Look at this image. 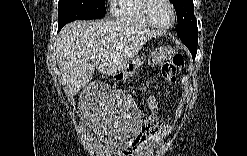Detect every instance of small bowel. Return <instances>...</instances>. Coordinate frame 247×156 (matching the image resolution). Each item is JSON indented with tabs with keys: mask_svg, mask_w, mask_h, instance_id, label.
I'll list each match as a JSON object with an SVG mask.
<instances>
[{
	"mask_svg": "<svg viewBox=\"0 0 247 156\" xmlns=\"http://www.w3.org/2000/svg\"><path fill=\"white\" fill-rule=\"evenodd\" d=\"M148 106H149L150 110L153 112V115L148 119V122L153 121L152 117L156 116L157 119L160 121V126H154L155 130L150 135H147L146 133L143 132V136L139 139V142H141V143L145 142L147 140V137H149L150 141H156V140L160 139V137L169 134L172 130L171 125H169L166 122L161 121L159 119L158 115L156 114L157 110H158V105H157L154 97L149 98Z\"/></svg>",
	"mask_w": 247,
	"mask_h": 156,
	"instance_id": "obj_1",
	"label": "small bowel"
}]
</instances>
